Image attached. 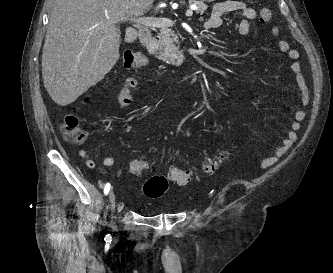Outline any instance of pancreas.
<instances>
[{"instance_id": "obj_1", "label": "pancreas", "mask_w": 333, "mask_h": 273, "mask_svg": "<svg viewBox=\"0 0 333 273\" xmlns=\"http://www.w3.org/2000/svg\"><path fill=\"white\" fill-rule=\"evenodd\" d=\"M190 4H195L197 6V13H204L208 6L199 0H189ZM159 40L156 44L157 58L165 61L166 63H171L175 66H180L183 63L184 56L182 52L179 51L178 46V36L173 30L168 27L162 29L159 33Z\"/></svg>"}]
</instances>
